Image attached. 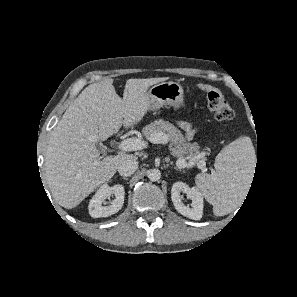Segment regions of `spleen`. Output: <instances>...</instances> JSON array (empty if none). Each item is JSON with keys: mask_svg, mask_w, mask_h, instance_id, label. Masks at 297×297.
<instances>
[{"mask_svg": "<svg viewBox=\"0 0 297 297\" xmlns=\"http://www.w3.org/2000/svg\"><path fill=\"white\" fill-rule=\"evenodd\" d=\"M255 150L248 137H240L224 147L215 161L216 172L198 174L196 183L216 216L225 215L248 189L256 164Z\"/></svg>", "mask_w": 297, "mask_h": 297, "instance_id": "obj_1", "label": "spleen"}]
</instances>
